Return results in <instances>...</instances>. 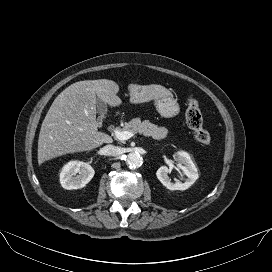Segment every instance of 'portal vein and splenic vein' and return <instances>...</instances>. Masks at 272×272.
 Masks as SVG:
<instances>
[{
	"mask_svg": "<svg viewBox=\"0 0 272 272\" xmlns=\"http://www.w3.org/2000/svg\"><path fill=\"white\" fill-rule=\"evenodd\" d=\"M114 136L118 139V140H121V141H124V140H128L130 139L131 137H134V133L132 132H129V131H121V130H118V129H115L114 132H113Z\"/></svg>",
	"mask_w": 272,
	"mask_h": 272,
	"instance_id": "portal-vein-and-splenic-vein-1",
	"label": "portal vein and splenic vein"
}]
</instances>
